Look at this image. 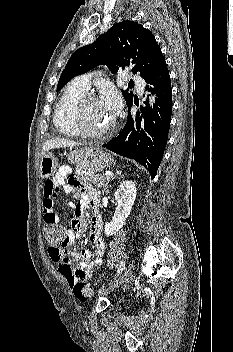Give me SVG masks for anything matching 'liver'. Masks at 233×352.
Returning <instances> with one entry per match:
<instances>
[{
	"mask_svg": "<svg viewBox=\"0 0 233 352\" xmlns=\"http://www.w3.org/2000/svg\"><path fill=\"white\" fill-rule=\"evenodd\" d=\"M79 143L63 138H55L47 140L42 148L41 155L43 156L51 149L61 148V147H74L78 146Z\"/></svg>",
	"mask_w": 233,
	"mask_h": 352,
	"instance_id": "obj_1",
	"label": "liver"
}]
</instances>
